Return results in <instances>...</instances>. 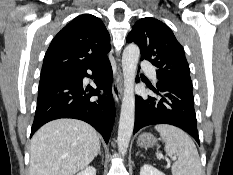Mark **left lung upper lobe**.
<instances>
[{"mask_svg":"<svg viewBox=\"0 0 233 175\" xmlns=\"http://www.w3.org/2000/svg\"><path fill=\"white\" fill-rule=\"evenodd\" d=\"M127 42H135L140 47L141 60H148L157 68L158 79L192 85L184 49L161 21L151 17L140 19L134 24Z\"/></svg>","mask_w":233,"mask_h":175,"instance_id":"1","label":"left lung upper lobe"}]
</instances>
